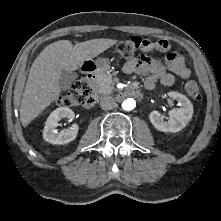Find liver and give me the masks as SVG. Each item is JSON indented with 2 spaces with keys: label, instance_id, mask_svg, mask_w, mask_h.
I'll use <instances>...</instances> for the list:
<instances>
[{
  "label": "liver",
  "instance_id": "1",
  "mask_svg": "<svg viewBox=\"0 0 221 221\" xmlns=\"http://www.w3.org/2000/svg\"><path fill=\"white\" fill-rule=\"evenodd\" d=\"M117 40L92 39L73 46L59 40L46 46L32 64L20 106V121L26 127L61 93V71H74L82 64L115 45Z\"/></svg>",
  "mask_w": 221,
  "mask_h": 221
}]
</instances>
